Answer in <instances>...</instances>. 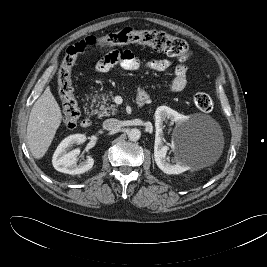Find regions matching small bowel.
Masks as SVG:
<instances>
[{
    "mask_svg": "<svg viewBox=\"0 0 267 267\" xmlns=\"http://www.w3.org/2000/svg\"><path fill=\"white\" fill-rule=\"evenodd\" d=\"M172 64L173 62L170 59H151L143 64L138 57L129 50H111L96 62L95 71L98 73H106L112 68L119 66L126 70H138L141 67H145L151 71L163 72L169 69ZM186 85L187 67L179 64L174 69L168 91L173 93L180 92ZM141 94H146V92L142 88H139L138 95Z\"/></svg>",
    "mask_w": 267,
    "mask_h": 267,
    "instance_id": "c3829d8e",
    "label": "small bowel"
}]
</instances>
